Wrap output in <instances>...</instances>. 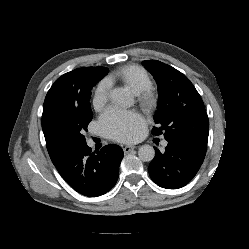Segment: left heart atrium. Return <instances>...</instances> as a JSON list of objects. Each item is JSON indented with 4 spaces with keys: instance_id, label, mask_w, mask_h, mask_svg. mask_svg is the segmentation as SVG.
Returning a JSON list of instances; mask_svg holds the SVG:
<instances>
[{
    "instance_id": "left-heart-atrium-1",
    "label": "left heart atrium",
    "mask_w": 249,
    "mask_h": 249,
    "mask_svg": "<svg viewBox=\"0 0 249 249\" xmlns=\"http://www.w3.org/2000/svg\"><path fill=\"white\" fill-rule=\"evenodd\" d=\"M99 124L108 138L120 142L135 141L144 131L140 117L117 107L107 109L102 114Z\"/></svg>"
}]
</instances>
